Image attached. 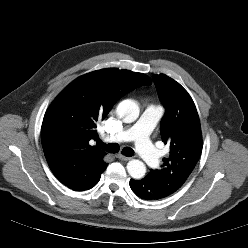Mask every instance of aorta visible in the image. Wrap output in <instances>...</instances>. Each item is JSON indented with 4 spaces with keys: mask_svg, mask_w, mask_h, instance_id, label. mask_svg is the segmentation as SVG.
<instances>
[{
    "mask_svg": "<svg viewBox=\"0 0 248 248\" xmlns=\"http://www.w3.org/2000/svg\"><path fill=\"white\" fill-rule=\"evenodd\" d=\"M139 106L131 99L121 101L116 109V113L125 123L134 122L139 116ZM127 171L134 179H141L146 173L145 164L137 159H133L127 163Z\"/></svg>",
    "mask_w": 248,
    "mask_h": 248,
    "instance_id": "aorta-1",
    "label": "aorta"
}]
</instances>
